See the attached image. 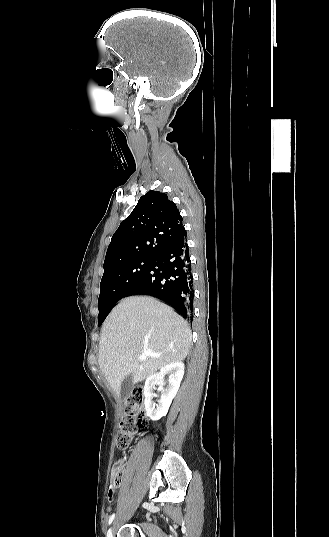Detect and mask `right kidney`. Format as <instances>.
Instances as JSON below:
<instances>
[{"instance_id": "obj_1", "label": "right kidney", "mask_w": 329, "mask_h": 537, "mask_svg": "<svg viewBox=\"0 0 329 537\" xmlns=\"http://www.w3.org/2000/svg\"><path fill=\"white\" fill-rule=\"evenodd\" d=\"M165 375H168V384L161 390V399L155 405L153 401V390L155 385L163 384ZM184 375V364L182 362L169 363L162 367L159 373L150 375L144 386V405L147 416L152 420H159L168 412L170 404L178 392L181 380Z\"/></svg>"}]
</instances>
